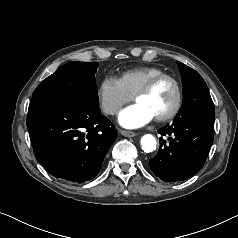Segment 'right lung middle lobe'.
<instances>
[{"label":"right lung middle lobe","mask_w":238,"mask_h":238,"mask_svg":"<svg viewBox=\"0 0 238 238\" xmlns=\"http://www.w3.org/2000/svg\"><path fill=\"white\" fill-rule=\"evenodd\" d=\"M97 62H69L47 77L32 98H76L99 106L95 73Z\"/></svg>","instance_id":"dd1d6c3e"}]
</instances>
